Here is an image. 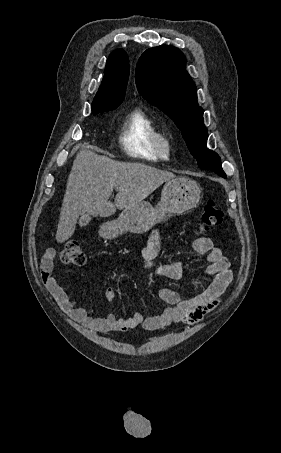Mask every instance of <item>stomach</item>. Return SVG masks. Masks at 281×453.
<instances>
[{
  "mask_svg": "<svg viewBox=\"0 0 281 453\" xmlns=\"http://www.w3.org/2000/svg\"><path fill=\"white\" fill-rule=\"evenodd\" d=\"M202 198V188L196 180L178 176L166 180L159 202L152 206L147 200L136 202L131 208H123L117 220L104 222L100 227V237L114 239L125 231L143 235L157 222L167 220L168 216L184 214L197 208Z\"/></svg>",
  "mask_w": 281,
  "mask_h": 453,
  "instance_id": "stomach-1",
  "label": "stomach"
}]
</instances>
